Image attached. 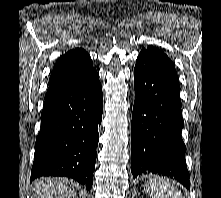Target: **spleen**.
Instances as JSON below:
<instances>
[{
  "instance_id": "1",
  "label": "spleen",
  "mask_w": 221,
  "mask_h": 198,
  "mask_svg": "<svg viewBox=\"0 0 221 198\" xmlns=\"http://www.w3.org/2000/svg\"><path fill=\"white\" fill-rule=\"evenodd\" d=\"M144 191L151 198H184L175 183L165 177L150 179L144 185Z\"/></svg>"
}]
</instances>
